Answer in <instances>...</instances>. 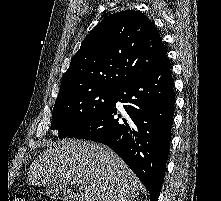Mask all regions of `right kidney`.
I'll return each instance as SVG.
<instances>
[{
    "label": "right kidney",
    "instance_id": "obj_1",
    "mask_svg": "<svg viewBox=\"0 0 221 201\" xmlns=\"http://www.w3.org/2000/svg\"><path fill=\"white\" fill-rule=\"evenodd\" d=\"M119 201H129V200L126 199V198H122V199H120Z\"/></svg>",
    "mask_w": 221,
    "mask_h": 201
}]
</instances>
